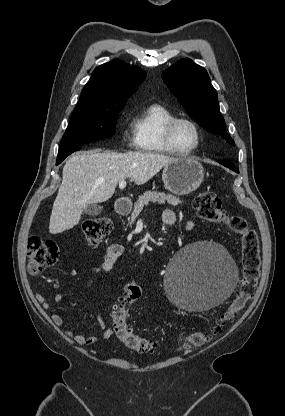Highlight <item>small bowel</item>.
<instances>
[{"instance_id":"c3829d8e","label":"small bowel","mask_w":285,"mask_h":416,"mask_svg":"<svg viewBox=\"0 0 285 416\" xmlns=\"http://www.w3.org/2000/svg\"><path fill=\"white\" fill-rule=\"evenodd\" d=\"M162 220L165 224L171 225L175 222L176 216L173 211L166 210L162 214ZM193 227H194L193 222L189 221L187 224V229L192 230ZM122 253H123L122 245L118 243L111 244L106 250V254L104 256V260L102 264L99 267L93 268L92 272L99 273L103 271H110L114 267L115 263L117 262L119 257L122 255ZM36 299L44 307V309L49 310V304L46 298L42 294L40 293L36 294ZM53 299L56 303H60L64 299V294L62 292H58L54 295ZM50 318L56 326L58 327L63 326L64 322H63L62 317L59 314L51 312ZM98 325L101 330V338L103 340H108L113 336L114 330L111 327H107L104 320L100 317L98 318ZM66 334L80 345H93L98 341V337L96 336L85 337L81 334L75 333L70 330L66 331Z\"/></svg>"}]
</instances>
